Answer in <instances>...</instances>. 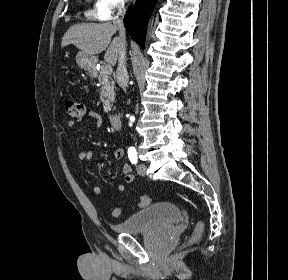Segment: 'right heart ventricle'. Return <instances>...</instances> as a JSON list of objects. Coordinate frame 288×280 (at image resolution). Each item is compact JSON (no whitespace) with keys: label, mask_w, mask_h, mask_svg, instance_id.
I'll list each match as a JSON object with an SVG mask.
<instances>
[{"label":"right heart ventricle","mask_w":288,"mask_h":280,"mask_svg":"<svg viewBox=\"0 0 288 280\" xmlns=\"http://www.w3.org/2000/svg\"><path fill=\"white\" fill-rule=\"evenodd\" d=\"M85 15L88 16V17H93L94 16L93 9H87L85 11Z\"/></svg>","instance_id":"right-heart-ventricle-1"}]
</instances>
